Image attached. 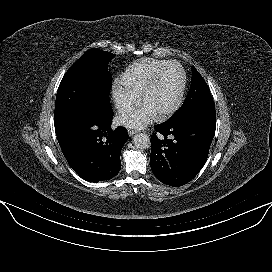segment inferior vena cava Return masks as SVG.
<instances>
[{"mask_svg": "<svg viewBox=\"0 0 272 272\" xmlns=\"http://www.w3.org/2000/svg\"><path fill=\"white\" fill-rule=\"evenodd\" d=\"M130 107H131L130 103L125 101L124 102L122 101L117 104L118 110H122V111L128 110Z\"/></svg>", "mask_w": 272, "mask_h": 272, "instance_id": "1", "label": "inferior vena cava"}]
</instances>
